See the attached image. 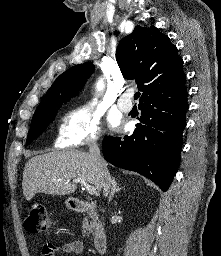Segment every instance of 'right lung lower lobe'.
Instances as JSON below:
<instances>
[{"instance_id": "98d812e1", "label": "right lung lower lobe", "mask_w": 221, "mask_h": 256, "mask_svg": "<svg viewBox=\"0 0 221 256\" xmlns=\"http://www.w3.org/2000/svg\"><path fill=\"white\" fill-rule=\"evenodd\" d=\"M187 95L183 91L141 102L142 117L134 133L123 138L106 136L104 158L117 167L142 174L165 192L179 165Z\"/></svg>"}]
</instances>
